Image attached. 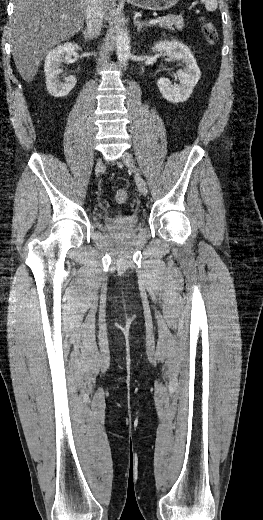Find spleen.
<instances>
[{
  "label": "spleen",
  "mask_w": 263,
  "mask_h": 520,
  "mask_svg": "<svg viewBox=\"0 0 263 520\" xmlns=\"http://www.w3.org/2000/svg\"><path fill=\"white\" fill-rule=\"evenodd\" d=\"M201 1L204 3L206 10L215 11L217 9V6H218L217 0H201Z\"/></svg>",
  "instance_id": "spleen-1"
}]
</instances>
